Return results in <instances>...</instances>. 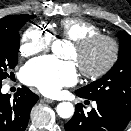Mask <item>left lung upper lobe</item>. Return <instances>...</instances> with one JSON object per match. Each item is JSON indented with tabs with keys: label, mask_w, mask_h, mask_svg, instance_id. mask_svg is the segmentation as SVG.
<instances>
[{
	"label": "left lung upper lobe",
	"mask_w": 131,
	"mask_h": 131,
	"mask_svg": "<svg viewBox=\"0 0 131 131\" xmlns=\"http://www.w3.org/2000/svg\"><path fill=\"white\" fill-rule=\"evenodd\" d=\"M118 38V60L112 69L77 92L90 100L112 103L131 116V36L120 31Z\"/></svg>",
	"instance_id": "1"
}]
</instances>
